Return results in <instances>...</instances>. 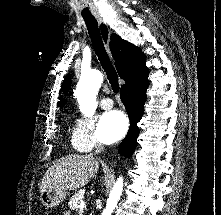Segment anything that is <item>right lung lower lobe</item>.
<instances>
[{"label": "right lung lower lobe", "instance_id": "98d812e1", "mask_svg": "<svg viewBox=\"0 0 221 215\" xmlns=\"http://www.w3.org/2000/svg\"><path fill=\"white\" fill-rule=\"evenodd\" d=\"M149 85L147 76L135 84L121 89V100L126 108L130 119V128L128 134L121 142L119 154L130 157L136 147L139 128L137 123L140 121L146 101V89Z\"/></svg>", "mask_w": 221, "mask_h": 215}]
</instances>
